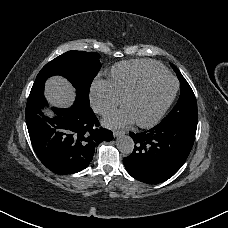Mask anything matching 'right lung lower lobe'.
<instances>
[{
  "mask_svg": "<svg viewBox=\"0 0 228 228\" xmlns=\"http://www.w3.org/2000/svg\"><path fill=\"white\" fill-rule=\"evenodd\" d=\"M46 104L43 94L29 96L26 123L35 153L52 172L63 175L86 168L98 143L113 139L110 130L99 127L90 106L74 102L70 108H54L51 119L41 111Z\"/></svg>",
  "mask_w": 228,
  "mask_h": 228,
  "instance_id": "98d812e1",
  "label": "right lung lower lobe"
}]
</instances>
